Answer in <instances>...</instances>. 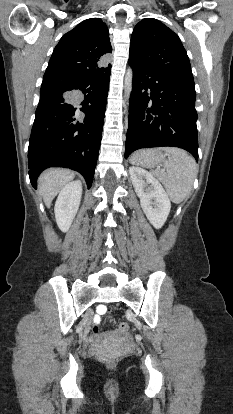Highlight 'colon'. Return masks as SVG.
<instances>
[{
    "instance_id": "colon-1",
    "label": "colon",
    "mask_w": 233,
    "mask_h": 414,
    "mask_svg": "<svg viewBox=\"0 0 233 414\" xmlns=\"http://www.w3.org/2000/svg\"><path fill=\"white\" fill-rule=\"evenodd\" d=\"M119 330L121 332L126 333V332H128L130 330V325L127 322H121L119 324ZM98 331H99L98 326L97 325H94L93 326V333L96 334V333H98ZM103 360L106 361V362H110V359L108 357H103Z\"/></svg>"
}]
</instances>
